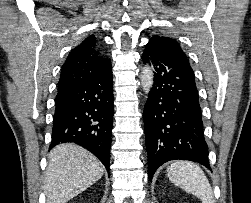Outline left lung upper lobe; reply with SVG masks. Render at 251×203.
I'll use <instances>...</instances> for the list:
<instances>
[{
    "mask_svg": "<svg viewBox=\"0 0 251 203\" xmlns=\"http://www.w3.org/2000/svg\"><path fill=\"white\" fill-rule=\"evenodd\" d=\"M149 41H153V42H156L159 44H164V45L170 46L177 53L181 54L186 60H188L186 54L182 51L179 43L172 38L155 35Z\"/></svg>",
    "mask_w": 251,
    "mask_h": 203,
    "instance_id": "left-lung-upper-lobe-1",
    "label": "left lung upper lobe"
}]
</instances>
